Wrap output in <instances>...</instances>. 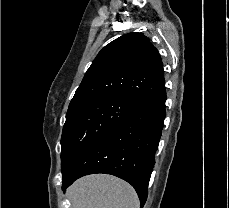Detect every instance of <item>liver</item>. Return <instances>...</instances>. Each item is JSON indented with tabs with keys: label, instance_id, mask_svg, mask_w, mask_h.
<instances>
[{
	"label": "liver",
	"instance_id": "1",
	"mask_svg": "<svg viewBox=\"0 0 229 208\" xmlns=\"http://www.w3.org/2000/svg\"><path fill=\"white\" fill-rule=\"evenodd\" d=\"M72 208H140L132 186L106 174L85 176L68 188Z\"/></svg>",
	"mask_w": 229,
	"mask_h": 208
}]
</instances>
